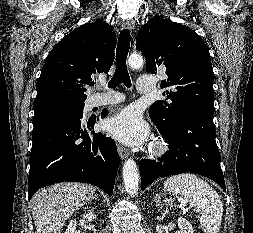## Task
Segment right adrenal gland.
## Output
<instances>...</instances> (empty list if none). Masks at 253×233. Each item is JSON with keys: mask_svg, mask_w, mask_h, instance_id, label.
<instances>
[{"mask_svg": "<svg viewBox=\"0 0 253 233\" xmlns=\"http://www.w3.org/2000/svg\"><path fill=\"white\" fill-rule=\"evenodd\" d=\"M98 198H99V196L95 195V199H98Z\"/></svg>", "mask_w": 253, "mask_h": 233, "instance_id": "1", "label": "right adrenal gland"}]
</instances>
